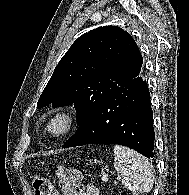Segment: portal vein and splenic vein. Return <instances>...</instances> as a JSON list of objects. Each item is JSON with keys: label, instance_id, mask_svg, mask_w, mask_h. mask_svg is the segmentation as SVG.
I'll return each instance as SVG.
<instances>
[{"label": "portal vein and splenic vein", "instance_id": "portal-vein-and-splenic-vein-1", "mask_svg": "<svg viewBox=\"0 0 189 195\" xmlns=\"http://www.w3.org/2000/svg\"><path fill=\"white\" fill-rule=\"evenodd\" d=\"M102 181H103V182H107V181H108L107 175H104V176L102 177Z\"/></svg>", "mask_w": 189, "mask_h": 195}]
</instances>
